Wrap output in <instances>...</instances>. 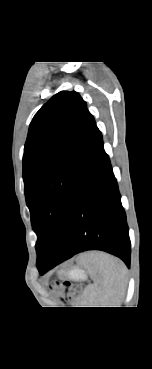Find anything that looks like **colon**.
I'll use <instances>...</instances> for the list:
<instances>
[{
  "instance_id": "colon-1",
  "label": "colon",
  "mask_w": 152,
  "mask_h": 369,
  "mask_svg": "<svg viewBox=\"0 0 152 369\" xmlns=\"http://www.w3.org/2000/svg\"><path fill=\"white\" fill-rule=\"evenodd\" d=\"M51 289L58 292L65 303L74 300L80 293L79 288L71 283L55 282L51 285Z\"/></svg>"
}]
</instances>
